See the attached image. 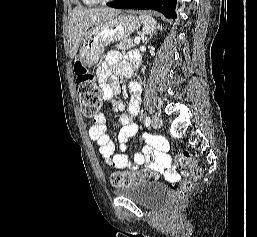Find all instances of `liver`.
<instances>
[{
    "mask_svg": "<svg viewBox=\"0 0 257 237\" xmlns=\"http://www.w3.org/2000/svg\"><path fill=\"white\" fill-rule=\"evenodd\" d=\"M118 10L112 8H83L75 7L69 20V42L70 56L73 59L76 56L80 43L87 30L112 17Z\"/></svg>",
    "mask_w": 257,
    "mask_h": 237,
    "instance_id": "1",
    "label": "liver"
}]
</instances>
